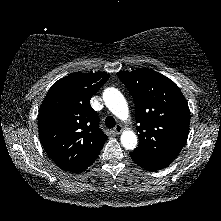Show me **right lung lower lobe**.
I'll return each mask as SVG.
<instances>
[{
    "label": "right lung lower lobe",
    "instance_id": "1",
    "mask_svg": "<svg viewBox=\"0 0 221 221\" xmlns=\"http://www.w3.org/2000/svg\"><path fill=\"white\" fill-rule=\"evenodd\" d=\"M94 161H95V160H94ZM94 161H93V162H94ZM93 162H92V163H93ZM92 163H91V164H92ZM91 164H90V165H91ZM90 165H89V166H90ZM86 168H87V167H86ZM86 168H85V169H86ZM85 169H84V170H85ZM82 171H83V170H82Z\"/></svg>",
    "mask_w": 221,
    "mask_h": 221
}]
</instances>
